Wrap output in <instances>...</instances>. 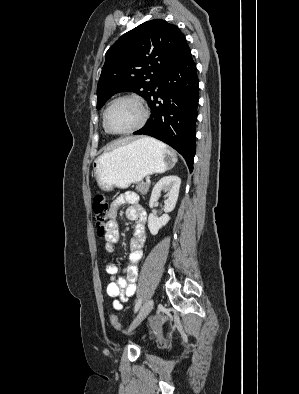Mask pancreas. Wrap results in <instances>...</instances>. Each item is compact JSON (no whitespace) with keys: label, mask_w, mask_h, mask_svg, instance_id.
Masks as SVG:
<instances>
[{"label":"pancreas","mask_w":299,"mask_h":394,"mask_svg":"<svg viewBox=\"0 0 299 394\" xmlns=\"http://www.w3.org/2000/svg\"><path fill=\"white\" fill-rule=\"evenodd\" d=\"M149 186L150 184L146 183V182H140L136 185V190L138 192H140L142 195L147 194L148 190H149Z\"/></svg>","instance_id":"pancreas-1"}]
</instances>
